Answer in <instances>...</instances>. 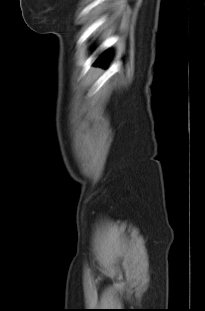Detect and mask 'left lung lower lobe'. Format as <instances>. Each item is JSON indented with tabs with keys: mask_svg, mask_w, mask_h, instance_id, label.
Returning <instances> with one entry per match:
<instances>
[{
	"mask_svg": "<svg viewBox=\"0 0 205 311\" xmlns=\"http://www.w3.org/2000/svg\"><path fill=\"white\" fill-rule=\"evenodd\" d=\"M110 57L109 53L102 54L100 60L96 61L94 65L105 67L106 66V60H108Z\"/></svg>",
	"mask_w": 205,
	"mask_h": 311,
	"instance_id": "left-lung-lower-lobe-1",
	"label": "left lung lower lobe"
}]
</instances>
